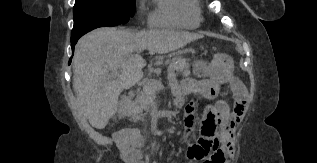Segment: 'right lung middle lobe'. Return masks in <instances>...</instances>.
<instances>
[{
  "instance_id": "1",
  "label": "right lung middle lobe",
  "mask_w": 317,
  "mask_h": 163,
  "mask_svg": "<svg viewBox=\"0 0 317 163\" xmlns=\"http://www.w3.org/2000/svg\"><path fill=\"white\" fill-rule=\"evenodd\" d=\"M135 13V0H76L71 39L98 27L128 22Z\"/></svg>"
}]
</instances>
